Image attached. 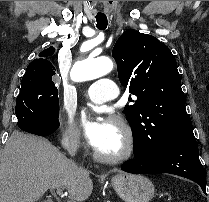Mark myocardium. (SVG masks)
Returning a JSON list of instances; mask_svg holds the SVG:
<instances>
[{
    "instance_id": "obj_1",
    "label": "myocardium",
    "mask_w": 209,
    "mask_h": 202,
    "mask_svg": "<svg viewBox=\"0 0 209 202\" xmlns=\"http://www.w3.org/2000/svg\"><path fill=\"white\" fill-rule=\"evenodd\" d=\"M108 122L115 124L124 136V146L116 154H103L93 149V157L96 161L108 164H115L128 160L135 152L136 142L134 133L127 121L119 116H110Z\"/></svg>"
}]
</instances>
